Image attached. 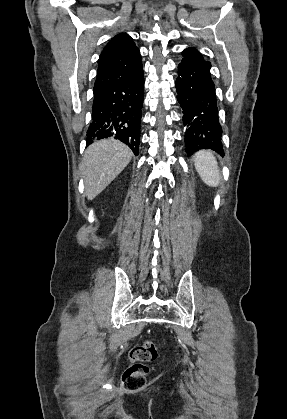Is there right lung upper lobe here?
<instances>
[{
    "label": "right lung upper lobe",
    "instance_id": "obj_1",
    "mask_svg": "<svg viewBox=\"0 0 287 419\" xmlns=\"http://www.w3.org/2000/svg\"><path fill=\"white\" fill-rule=\"evenodd\" d=\"M141 65L140 52L132 38L126 33L116 35L99 57L94 90L132 74Z\"/></svg>",
    "mask_w": 287,
    "mask_h": 419
}]
</instances>
